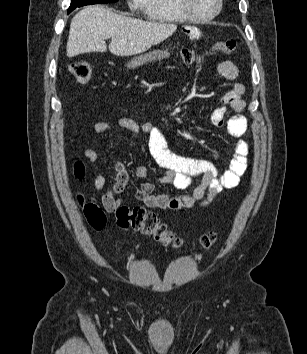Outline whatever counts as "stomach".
Returning a JSON list of instances; mask_svg holds the SVG:
<instances>
[{
	"instance_id": "obj_1",
	"label": "stomach",
	"mask_w": 307,
	"mask_h": 354,
	"mask_svg": "<svg viewBox=\"0 0 307 354\" xmlns=\"http://www.w3.org/2000/svg\"><path fill=\"white\" fill-rule=\"evenodd\" d=\"M169 56L170 53L167 50H156L134 58L133 60L127 63V67L134 69L147 63L161 61L165 58H168Z\"/></svg>"
}]
</instances>
